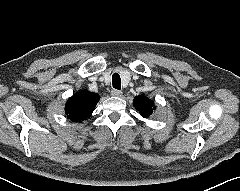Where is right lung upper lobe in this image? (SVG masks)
Segmentation results:
<instances>
[{
	"label": "right lung upper lobe",
	"instance_id": "1",
	"mask_svg": "<svg viewBox=\"0 0 240 191\" xmlns=\"http://www.w3.org/2000/svg\"><path fill=\"white\" fill-rule=\"evenodd\" d=\"M100 96L87 90H82L68 99L65 106L67 118L74 122H81L89 118L99 101Z\"/></svg>",
	"mask_w": 240,
	"mask_h": 191
}]
</instances>
